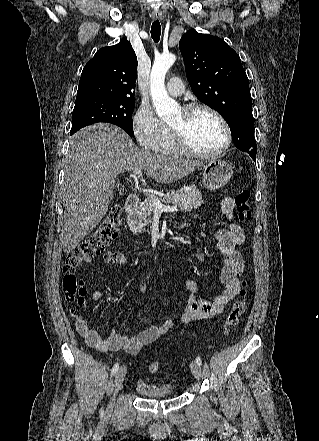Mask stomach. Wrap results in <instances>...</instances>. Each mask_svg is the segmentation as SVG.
Listing matches in <instances>:
<instances>
[{
  "label": "stomach",
  "mask_w": 319,
  "mask_h": 441,
  "mask_svg": "<svg viewBox=\"0 0 319 441\" xmlns=\"http://www.w3.org/2000/svg\"><path fill=\"white\" fill-rule=\"evenodd\" d=\"M203 184L205 188L215 190L223 187L232 177V167L226 161L212 159L203 167Z\"/></svg>",
  "instance_id": "0dacf381"
}]
</instances>
